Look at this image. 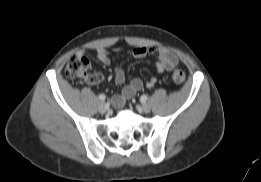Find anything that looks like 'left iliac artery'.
<instances>
[{"instance_id": "left-iliac-artery-1", "label": "left iliac artery", "mask_w": 261, "mask_h": 182, "mask_svg": "<svg viewBox=\"0 0 261 182\" xmlns=\"http://www.w3.org/2000/svg\"><path fill=\"white\" fill-rule=\"evenodd\" d=\"M147 99H148L147 95H142V96L140 97V101H141V102H146Z\"/></svg>"}]
</instances>
